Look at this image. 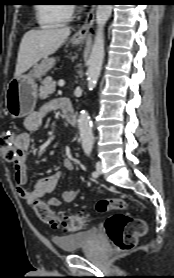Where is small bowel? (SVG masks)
Instances as JSON below:
<instances>
[{
    "label": "small bowel",
    "mask_w": 174,
    "mask_h": 278,
    "mask_svg": "<svg viewBox=\"0 0 174 278\" xmlns=\"http://www.w3.org/2000/svg\"><path fill=\"white\" fill-rule=\"evenodd\" d=\"M49 111L50 106L46 105L26 117L24 120L26 131L18 134L14 138L12 144L15 152L13 164L16 192L18 196L28 204H33L37 199L52 193L62 176V171L58 170L39 180L32 189L27 188V157L31 146L30 134L38 131L42 127ZM63 167L68 171H72L74 168L72 161L69 159L64 160ZM78 194L79 189L66 190L62 193L61 199L52 197L48 199L45 204L49 207H58L62 203L72 202Z\"/></svg>",
    "instance_id": "obj_1"
}]
</instances>
